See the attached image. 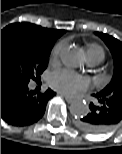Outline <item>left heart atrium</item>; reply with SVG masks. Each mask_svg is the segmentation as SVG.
I'll list each match as a JSON object with an SVG mask.
<instances>
[{
	"label": "left heart atrium",
	"instance_id": "39dd6f15",
	"mask_svg": "<svg viewBox=\"0 0 122 154\" xmlns=\"http://www.w3.org/2000/svg\"><path fill=\"white\" fill-rule=\"evenodd\" d=\"M51 87L65 95H75L80 91H85L89 87V81L69 70H59L54 72L49 81Z\"/></svg>",
	"mask_w": 122,
	"mask_h": 154
}]
</instances>
